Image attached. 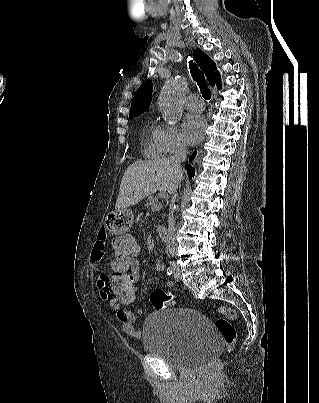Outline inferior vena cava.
<instances>
[{
    "label": "inferior vena cava",
    "mask_w": 319,
    "mask_h": 403,
    "mask_svg": "<svg viewBox=\"0 0 319 403\" xmlns=\"http://www.w3.org/2000/svg\"><path fill=\"white\" fill-rule=\"evenodd\" d=\"M186 156H187V145L185 142L180 141L178 142L174 155L170 158L171 164L175 168V170H181V163L185 161ZM177 188L178 185H174V187L169 191V193L176 196ZM166 248L167 251H173L175 248L173 212H171L169 216V228H168Z\"/></svg>",
    "instance_id": "602c4592"
}]
</instances>
